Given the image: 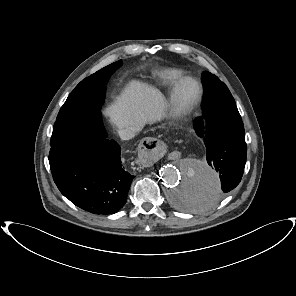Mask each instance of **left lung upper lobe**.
I'll return each mask as SVG.
<instances>
[{
    "instance_id": "1",
    "label": "left lung upper lobe",
    "mask_w": 296,
    "mask_h": 296,
    "mask_svg": "<svg viewBox=\"0 0 296 296\" xmlns=\"http://www.w3.org/2000/svg\"><path fill=\"white\" fill-rule=\"evenodd\" d=\"M202 82L205 94L204 101L220 96H232L227 86L210 72L203 73Z\"/></svg>"
}]
</instances>
